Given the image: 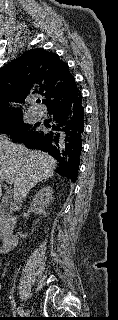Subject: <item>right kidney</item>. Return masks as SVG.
<instances>
[{"instance_id":"right-kidney-1","label":"right kidney","mask_w":118,"mask_h":320,"mask_svg":"<svg viewBox=\"0 0 118 320\" xmlns=\"http://www.w3.org/2000/svg\"><path fill=\"white\" fill-rule=\"evenodd\" d=\"M53 200V189L50 186L41 188L35 195L28 209V213L46 215V209ZM22 236L21 233H18Z\"/></svg>"}]
</instances>
